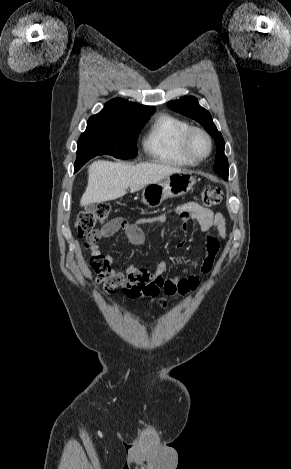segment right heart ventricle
Here are the masks:
<instances>
[{"instance_id":"1","label":"right heart ventricle","mask_w":291,"mask_h":469,"mask_svg":"<svg viewBox=\"0 0 291 469\" xmlns=\"http://www.w3.org/2000/svg\"><path fill=\"white\" fill-rule=\"evenodd\" d=\"M190 124L174 115L161 113L151 122L143 139V150L152 160L179 167L196 163L187 158L181 149L183 133Z\"/></svg>"}]
</instances>
